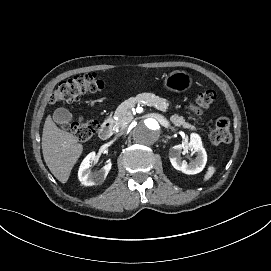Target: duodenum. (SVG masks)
<instances>
[{
    "label": "duodenum",
    "instance_id": "obj_1",
    "mask_svg": "<svg viewBox=\"0 0 271 271\" xmlns=\"http://www.w3.org/2000/svg\"><path fill=\"white\" fill-rule=\"evenodd\" d=\"M113 134V120L106 119L99 130V137L101 140H108Z\"/></svg>",
    "mask_w": 271,
    "mask_h": 271
}]
</instances>
